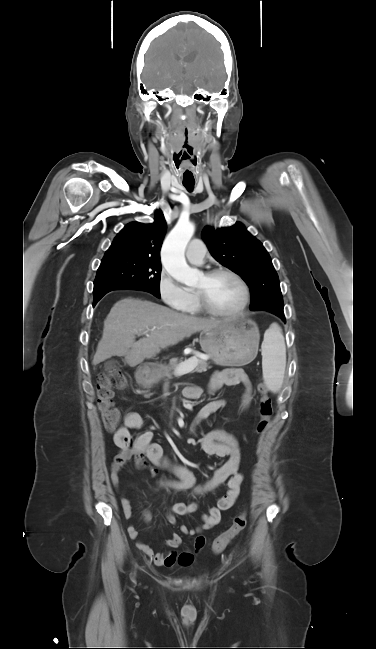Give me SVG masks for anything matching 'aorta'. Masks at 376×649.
<instances>
[{"mask_svg": "<svg viewBox=\"0 0 376 649\" xmlns=\"http://www.w3.org/2000/svg\"><path fill=\"white\" fill-rule=\"evenodd\" d=\"M195 226L189 221L179 220L166 237L161 257L166 271L177 281L187 285L198 280L199 271L189 267L185 259V249L193 236Z\"/></svg>", "mask_w": 376, "mask_h": 649, "instance_id": "762f6f07", "label": "aorta"}]
</instances>
